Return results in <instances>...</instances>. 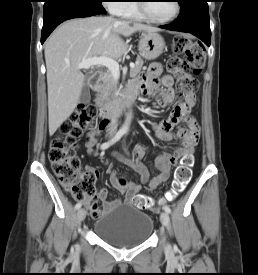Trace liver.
<instances>
[{
  "instance_id": "1",
  "label": "liver",
  "mask_w": 258,
  "mask_h": 275,
  "mask_svg": "<svg viewBox=\"0 0 258 275\" xmlns=\"http://www.w3.org/2000/svg\"><path fill=\"white\" fill-rule=\"evenodd\" d=\"M137 31L157 32L158 29L112 17L92 16L66 21L51 34L44 51L50 136L79 102L85 76L78 64L95 56L121 58L127 46L120 35L128 37Z\"/></svg>"
}]
</instances>
